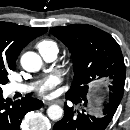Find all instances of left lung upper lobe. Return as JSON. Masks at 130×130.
<instances>
[{"label": "left lung upper lobe", "instance_id": "left-lung-upper-lobe-1", "mask_svg": "<svg viewBox=\"0 0 130 130\" xmlns=\"http://www.w3.org/2000/svg\"><path fill=\"white\" fill-rule=\"evenodd\" d=\"M50 32L68 47L72 56L74 79L66 98L82 100L94 82L111 79L109 100L119 104L126 72L120 46L113 37L86 24L53 27Z\"/></svg>", "mask_w": 130, "mask_h": 130}]
</instances>
